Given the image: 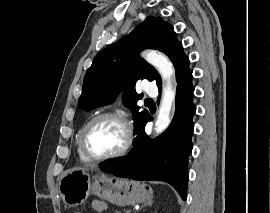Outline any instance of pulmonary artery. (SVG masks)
I'll return each instance as SVG.
<instances>
[{"label": "pulmonary artery", "mask_w": 270, "mask_h": 213, "mask_svg": "<svg viewBox=\"0 0 270 213\" xmlns=\"http://www.w3.org/2000/svg\"><path fill=\"white\" fill-rule=\"evenodd\" d=\"M144 92L149 96H156L158 93V89L153 82H146L144 86Z\"/></svg>", "instance_id": "obj_1"}]
</instances>
